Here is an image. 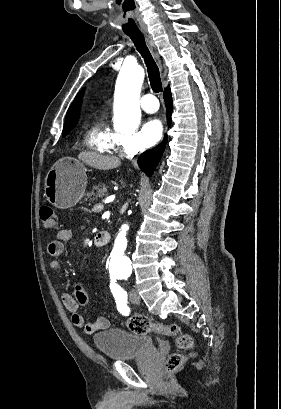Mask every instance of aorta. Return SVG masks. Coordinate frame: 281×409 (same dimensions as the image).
Here are the masks:
<instances>
[{
  "mask_svg": "<svg viewBox=\"0 0 281 409\" xmlns=\"http://www.w3.org/2000/svg\"><path fill=\"white\" fill-rule=\"evenodd\" d=\"M144 79L140 66L123 64L118 76L114 100V128L128 133L136 130L140 123L139 95ZM127 228L126 225L123 226Z\"/></svg>",
  "mask_w": 281,
  "mask_h": 409,
  "instance_id": "762f6f07",
  "label": "aorta"
}]
</instances>
